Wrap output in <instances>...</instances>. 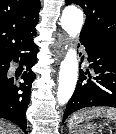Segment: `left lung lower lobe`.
Masks as SVG:
<instances>
[{"label":"left lung lower lobe","mask_w":116,"mask_h":134,"mask_svg":"<svg viewBox=\"0 0 116 134\" xmlns=\"http://www.w3.org/2000/svg\"><path fill=\"white\" fill-rule=\"evenodd\" d=\"M88 55L90 71H80L79 83L68 101L63 122L87 107L116 108V45L92 38L80 40Z\"/></svg>","instance_id":"0a47b994"}]
</instances>
